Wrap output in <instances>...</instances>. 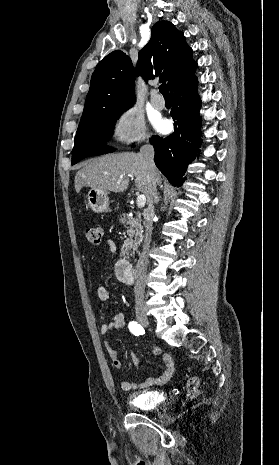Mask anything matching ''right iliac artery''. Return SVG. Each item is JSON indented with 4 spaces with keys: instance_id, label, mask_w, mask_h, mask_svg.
Instances as JSON below:
<instances>
[{
    "instance_id": "right-iliac-artery-1",
    "label": "right iliac artery",
    "mask_w": 279,
    "mask_h": 465,
    "mask_svg": "<svg viewBox=\"0 0 279 465\" xmlns=\"http://www.w3.org/2000/svg\"><path fill=\"white\" fill-rule=\"evenodd\" d=\"M129 330L136 336L144 334L143 327L135 321L129 323Z\"/></svg>"
}]
</instances>
